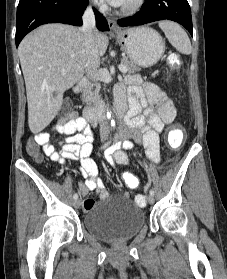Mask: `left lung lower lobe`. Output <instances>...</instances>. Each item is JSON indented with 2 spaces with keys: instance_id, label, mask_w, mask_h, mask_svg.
Here are the masks:
<instances>
[{
  "instance_id": "left-lung-lower-lobe-1",
  "label": "left lung lower lobe",
  "mask_w": 227,
  "mask_h": 279,
  "mask_svg": "<svg viewBox=\"0 0 227 279\" xmlns=\"http://www.w3.org/2000/svg\"><path fill=\"white\" fill-rule=\"evenodd\" d=\"M164 19L180 23L193 36L191 9L187 0H145L138 13L118 20V24L122 27L138 26Z\"/></svg>"
}]
</instances>
